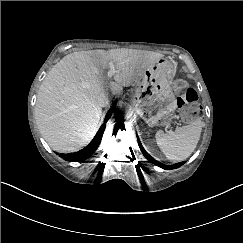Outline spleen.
I'll use <instances>...</instances> for the list:
<instances>
[{"mask_svg":"<svg viewBox=\"0 0 243 243\" xmlns=\"http://www.w3.org/2000/svg\"><path fill=\"white\" fill-rule=\"evenodd\" d=\"M202 130L200 120H195L188 125L177 127L175 133H165L158 130L155 133L157 145L171 160L181 161L186 159L196 148Z\"/></svg>","mask_w":243,"mask_h":243,"instance_id":"3e777b00","label":"spleen"}]
</instances>
